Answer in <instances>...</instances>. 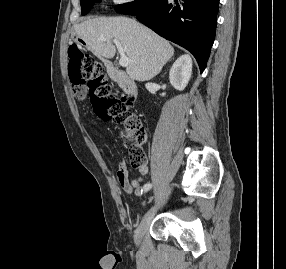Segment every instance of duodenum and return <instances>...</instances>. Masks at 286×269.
I'll use <instances>...</instances> for the list:
<instances>
[{
  "label": "duodenum",
  "mask_w": 286,
  "mask_h": 269,
  "mask_svg": "<svg viewBox=\"0 0 286 269\" xmlns=\"http://www.w3.org/2000/svg\"><path fill=\"white\" fill-rule=\"evenodd\" d=\"M106 70L109 78L119 84V86L133 99L137 97L136 83L130 78V76L118 69L114 64L107 63Z\"/></svg>",
  "instance_id": "410a0bca"
}]
</instances>
